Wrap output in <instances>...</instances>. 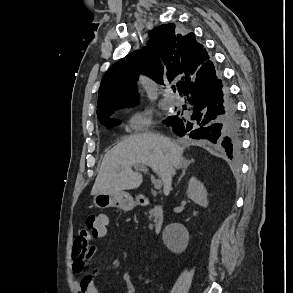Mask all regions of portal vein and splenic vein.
Wrapping results in <instances>:
<instances>
[{
    "instance_id": "obj_1",
    "label": "portal vein and splenic vein",
    "mask_w": 293,
    "mask_h": 293,
    "mask_svg": "<svg viewBox=\"0 0 293 293\" xmlns=\"http://www.w3.org/2000/svg\"><path fill=\"white\" fill-rule=\"evenodd\" d=\"M134 168H135V170H141L144 172H148V169L145 167L135 166ZM153 182H154L155 189H160L162 187V181L160 179H155Z\"/></svg>"
}]
</instances>
